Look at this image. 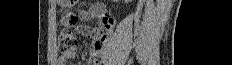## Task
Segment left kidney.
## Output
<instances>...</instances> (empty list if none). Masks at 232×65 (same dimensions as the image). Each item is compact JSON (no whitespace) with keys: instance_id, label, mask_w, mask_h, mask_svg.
<instances>
[{"instance_id":"obj_1","label":"left kidney","mask_w":232,"mask_h":65,"mask_svg":"<svg viewBox=\"0 0 232 65\" xmlns=\"http://www.w3.org/2000/svg\"><path fill=\"white\" fill-rule=\"evenodd\" d=\"M125 2H129V0H125Z\"/></svg>"}]
</instances>
